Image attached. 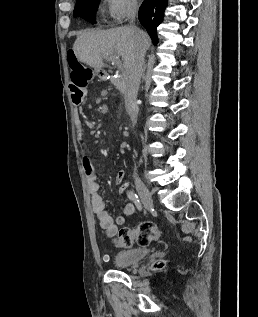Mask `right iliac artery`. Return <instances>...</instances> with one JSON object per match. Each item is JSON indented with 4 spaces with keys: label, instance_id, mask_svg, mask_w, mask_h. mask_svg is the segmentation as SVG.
I'll return each instance as SVG.
<instances>
[{
    "label": "right iliac artery",
    "instance_id": "obj_1",
    "mask_svg": "<svg viewBox=\"0 0 258 317\" xmlns=\"http://www.w3.org/2000/svg\"><path fill=\"white\" fill-rule=\"evenodd\" d=\"M129 199L136 205L139 211L142 210V204L138 195L134 191H130L128 194Z\"/></svg>",
    "mask_w": 258,
    "mask_h": 317
}]
</instances>
